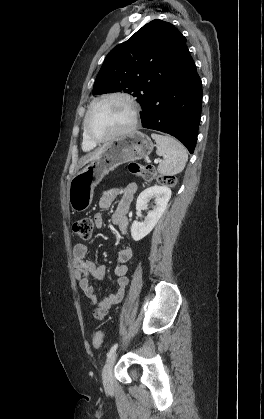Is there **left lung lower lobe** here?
<instances>
[{"mask_svg": "<svg viewBox=\"0 0 264 419\" xmlns=\"http://www.w3.org/2000/svg\"><path fill=\"white\" fill-rule=\"evenodd\" d=\"M202 82L183 36L172 72L156 81L142 107L144 128L168 133L194 152L201 117Z\"/></svg>", "mask_w": 264, "mask_h": 419, "instance_id": "0a47b994", "label": "left lung lower lobe"}]
</instances>
